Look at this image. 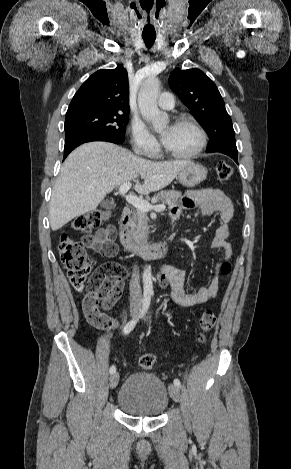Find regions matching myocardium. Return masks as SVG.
Returning a JSON list of instances; mask_svg holds the SVG:
<instances>
[{"label":"myocardium","instance_id":"myocardium-1","mask_svg":"<svg viewBox=\"0 0 291 469\" xmlns=\"http://www.w3.org/2000/svg\"><path fill=\"white\" fill-rule=\"evenodd\" d=\"M174 124H189L191 125L195 131L198 134V143L195 146V148L189 152L186 153H177L169 150L164 144L162 146L163 152L175 159H190L195 156H197L202 150L204 149L206 142H207V136L206 132L203 129V127L197 122L196 119H194L192 116L189 115H181L176 118Z\"/></svg>","mask_w":291,"mask_h":469}]
</instances>
